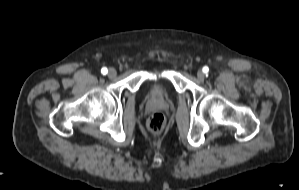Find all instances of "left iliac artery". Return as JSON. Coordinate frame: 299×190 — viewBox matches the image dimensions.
<instances>
[{
  "mask_svg": "<svg viewBox=\"0 0 299 190\" xmlns=\"http://www.w3.org/2000/svg\"><path fill=\"white\" fill-rule=\"evenodd\" d=\"M208 71H209V68H208L207 66H205V67L203 68V72H204V73H208Z\"/></svg>",
  "mask_w": 299,
  "mask_h": 190,
  "instance_id": "obj_1",
  "label": "left iliac artery"
}]
</instances>
